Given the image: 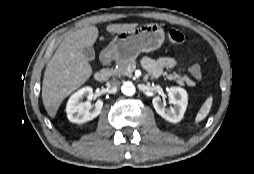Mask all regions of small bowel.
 Masks as SVG:
<instances>
[{"label":"small bowel","mask_w":254,"mask_h":174,"mask_svg":"<svg viewBox=\"0 0 254 174\" xmlns=\"http://www.w3.org/2000/svg\"><path fill=\"white\" fill-rule=\"evenodd\" d=\"M142 65L150 76L158 77L163 69L175 67L176 61L170 57H161L158 59L144 57L142 59Z\"/></svg>","instance_id":"1"}]
</instances>
